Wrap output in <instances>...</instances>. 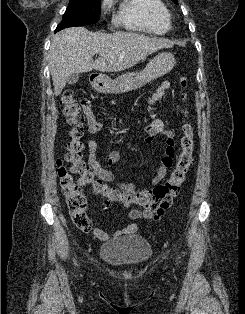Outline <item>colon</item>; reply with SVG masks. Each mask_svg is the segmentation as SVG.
Returning <instances> with one entry per match:
<instances>
[{
	"label": "colon",
	"instance_id": "1",
	"mask_svg": "<svg viewBox=\"0 0 245 314\" xmlns=\"http://www.w3.org/2000/svg\"><path fill=\"white\" fill-rule=\"evenodd\" d=\"M181 86L184 90L188 87L186 78H181ZM187 93L181 95L182 101H186ZM85 99L78 100L72 90H65L61 96V104L70 125L69 142L65 160L59 159L57 167L66 205L74 225L81 231L89 232L92 223L86 212V197L81 191L82 186L90 187L95 196L108 205L121 204L128 206L136 204L141 211L155 214H163L172 204V201L180 192L185 181L186 174L193 164V128L190 122L182 126L180 139L181 152L176 166L169 178L153 189L139 192H126L109 187L100 178L94 169L88 167L83 159L84 145L82 142L84 116L81 113ZM182 113L187 116L188 111L184 106ZM65 162L69 166L65 165ZM75 175L79 178L76 180Z\"/></svg>",
	"mask_w": 245,
	"mask_h": 314
}]
</instances>
